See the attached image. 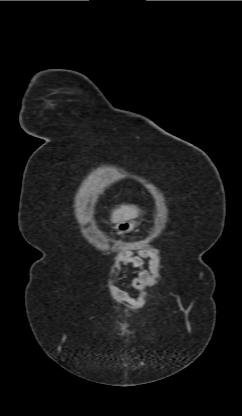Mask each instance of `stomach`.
Segmentation results:
<instances>
[{
	"label": "stomach",
	"instance_id": "0dacf381",
	"mask_svg": "<svg viewBox=\"0 0 242 416\" xmlns=\"http://www.w3.org/2000/svg\"><path fill=\"white\" fill-rule=\"evenodd\" d=\"M135 227H136L135 221H125V222L118 223L115 226V229L119 234H123V233H128L134 230Z\"/></svg>",
	"mask_w": 242,
	"mask_h": 416
}]
</instances>
